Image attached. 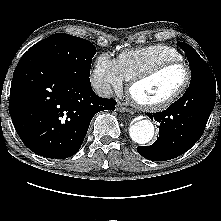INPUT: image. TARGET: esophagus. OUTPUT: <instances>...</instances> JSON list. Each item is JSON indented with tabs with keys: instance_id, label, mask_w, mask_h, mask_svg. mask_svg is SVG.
<instances>
[{
	"instance_id": "1",
	"label": "esophagus",
	"mask_w": 221,
	"mask_h": 221,
	"mask_svg": "<svg viewBox=\"0 0 221 221\" xmlns=\"http://www.w3.org/2000/svg\"><path fill=\"white\" fill-rule=\"evenodd\" d=\"M117 111L119 112H129L130 114H133V111L127 107H125L122 103H118L116 107Z\"/></svg>"
}]
</instances>
